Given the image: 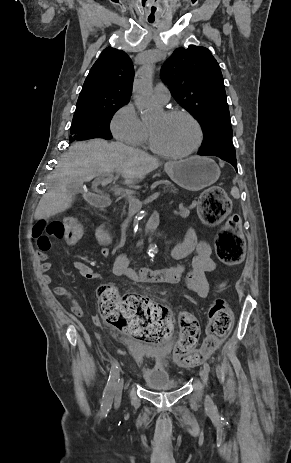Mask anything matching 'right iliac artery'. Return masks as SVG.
<instances>
[{"instance_id":"obj_1","label":"right iliac artery","mask_w":291,"mask_h":463,"mask_svg":"<svg viewBox=\"0 0 291 463\" xmlns=\"http://www.w3.org/2000/svg\"><path fill=\"white\" fill-rule=\"evenodd\" d=\"M119 381V367L114 363L111 367L107 385L105 387L103 401L101 404V413L107 416L108 411L111 409L113 402L114 389Z\"/></svg>"}]
</instances>
